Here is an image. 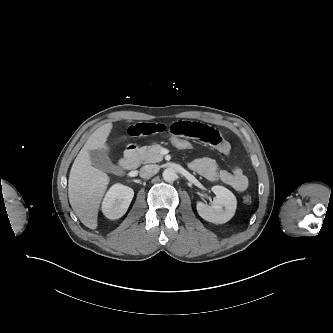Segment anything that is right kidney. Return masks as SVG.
Here are the masks:
<instances>
[{
  "mask_svg": "<svg viewBox=\"0 0 333 333\" xmlns=\"http://www.w3.org/2000/svg\"><path fill=\"white\" fill-rule=\"evenodd\" d=\"M133 196L134 191L132 188L122 184L113 185L103 200V214L112 220L121 218L128 210Z\"/></svg>",
  "mask_w": 333,
  "mask_h": 333,
  "instance_id": "1",
  "label": "right kidney"
}]
</instances>
